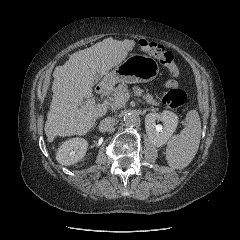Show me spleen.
Instances as JSON below:
<instances>
[{
    "instance_id": "1",
    "label": "spleen",
    "mask_w": 240,
    "mask_h": 240,
    "mask_svg": "<svg viewBox=\"0 0 240 240\" xmlns=\"http://www.w3.org/2000/svg\"><path fill=\"white\" fill-rule=\"evenodd\" d=\"M180 134L172 136L167 144L166 159L170 167L183 169L195 157L200 144L201 122L196 110H190Z\"/></svg>"
}]
</instances>
